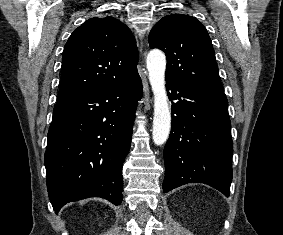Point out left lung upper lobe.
<instances>
[{
	"label": "left lung upper lobe",
	"instance_id": "obj_1",
	"mask_svg": "<svg viewBox=\"0 0 283 235\" xmlns=\"http://www.w3.org/2000/svg\"><path fill=\"white\" fill-rule=\"evenodd\" d=\"M149 44L166 54V78L223 93L211 39L196 18L184 14L163 17L151 30Z\"/></svg>",
	"mask_w": 283,
	"mask_h": 235
}]
</instances>
